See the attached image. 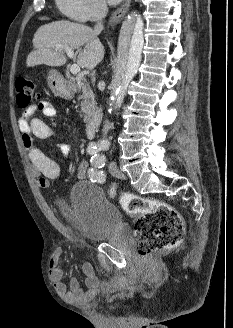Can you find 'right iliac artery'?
Returning <instances> with one entry per match:
<instances>
[{
    "instance_id": "right-iliac-artery-1",
    "label": "right iliac artery",
    "mask_w": 233,
    "mask_h": 328,
    "mask_svg": "<svg viewBox=\"0 0 233 328\" xmlns=\"http://www.w3.org/2000/svg\"><path fill=\"white\" fill-rule=\"evenodd\" d=\"M104 148H105L104 146H98L95 143H91L87 149V152L90 155H94V154L98 153L99 151L103 150ZM115 194H116V191H115V187L113 186L110 190V195L112 197H114Z\"/></svg>"
}]
</instances>
